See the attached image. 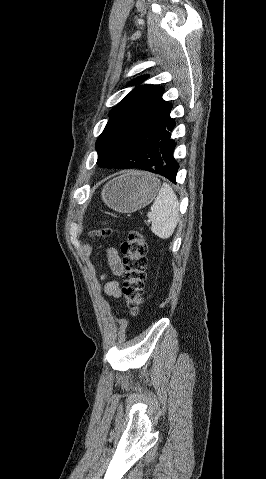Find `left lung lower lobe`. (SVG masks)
I'll return each instance as SVG.
<instances>
[{
	"label": "left lung lower lobe",
	"instance_id": "1",
	"mask_svg": "<svg viewBox=\"0 0 266 479\" xmlns=\"http://www.w3.org/2000/svg\"><path fill=\"white\" fill-rule=\"evenodd\" d=\"M170 114V113H169ZM175 121L168 115L167 122L158 143V152L153 159L143 161L138 167L149 172H153L162 175L176 183V174L179 169V165L173 157V152L176 147V143L171 139V132L175 127Z\"/></svg>",
	"mask_w": 266,
	"mask_h": 479
}]
</instances>
